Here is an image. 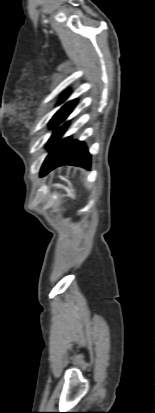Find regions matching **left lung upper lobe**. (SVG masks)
Returning a JSON list of instances; mask_svg holds the SVG:
<instances>
[{"label": "left lung upper lobe", "instance_id": "obj_1", "mask_svg": "<svg viewBox=\"0 0 155 413\" xmlns=\"http://www.w3.org/2000/svg\"><path fill=\"white\" fill-rule=\"evenodd\" d=\"M65 97L62 98L61 101H64ZM77 103V100H72L68 103H66L55 115L54 117L51 119L50 123H49V127L53 128L56 127L58 124H60L61 122H63L67 116L70 114V112L73 110V108L75 107ZM68 122H66L63 126H61L60 128H57L54 131L53 136H58L60 135L67 127ZM62 145L58 144L56 147L54 146V144L47 146L48 150H49V154L46 157L45 161L46 162L51 156L55 155L56 153H58L61 149H62Z\"/></svg>", "mask_w": 155, "mask_h": 413}]
</instances>
